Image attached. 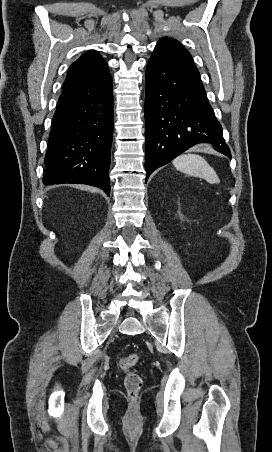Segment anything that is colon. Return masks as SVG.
I'll return each mask as SVG.
<instances>
[{"mask_svg": "<svg viewBox=\"0 0 272 452\" xmlns=\"http://www.w3.org/2000/svg\"><path fill=\"white\" fill-rule=\"evenodd\" d=\"M139 361V356L135 353L128 354L123 356L119 360L120 368L125 373L124 385L128 396L132 399H135L141 390L142 387V377L132 371V367H134Z\"/></svg>", "mask_w": 272, "mask_h": 452, "instance_id": "obj_1", "label": "colon"}]
</instances>
